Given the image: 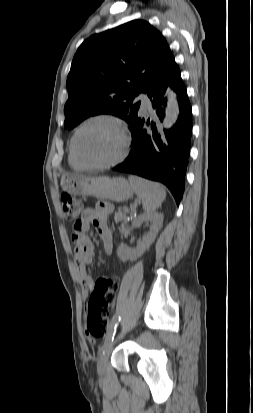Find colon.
<instances>
[{"label": "colon", "mask_w": 253, "mask_h": 413, "mask_svg": "<svg viewBox=\"0 0 253 413\" xmlns=\"http://www.w3.org/2000/svg\"><path fill=\"white\" fill-rule=\"evenodd\" d=\"M61 203L67 220H75L81 210L80 202L70 194L63 193ZM118 282L115 277H100L87 301V336L90 340L101 338L109 329V307L114 303Z\"/></svg>", "instance_id": "obj_1"}]
</instances>
